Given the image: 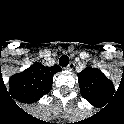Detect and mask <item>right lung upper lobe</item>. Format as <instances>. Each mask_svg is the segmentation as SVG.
I'll list each match as a JSON object with an SVG mask.
<instances>
[{
	"label": "right lung upper lobe",
	"instance_id": "1",
	"mask_svg": "<svg viewBox=\"0 0 124 124\" xmlns=\"http://www.w3.org/2000/svg\"><path fill=\"white\" fill-rule=\"evenodd\" d=\"M59 70L57 65L44 67L42 64L36 63L23 73L16 75V84L24 95H27L30 100H35L40 98L42 94L49 92L53 75Z\"/></svg>",
	"mask_w": 124,
	"mask_h": 124
}]
</instances>
